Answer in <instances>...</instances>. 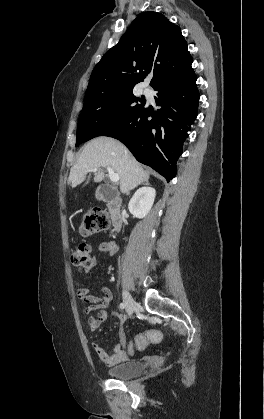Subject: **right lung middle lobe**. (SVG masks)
<instances>
[{
    "label": "right lung middle lobe",
    "mask_w": 264,
    "mask_h": 419,
    "mask_svg": "<svg viewBox=\"0 0 264 419\" xmlns=\"http://www.w3.org/2000/svg\"><path fill=\"white\" fill-rule=\"evenodd\" d=\"M145 102L144 96L136 98L132 90L86 96L78 122L76 146L111 131Z\"/></svg>",
    "instance_id": "dd1d6c3e"
}]
</instances>
